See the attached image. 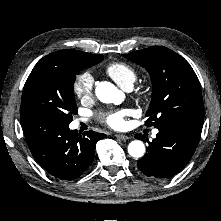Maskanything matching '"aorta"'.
<instances>
[{
  "label": "aorta",
  "instance_id": "1",
  "mask_svg": "<svg viewBox=\"0 0 221 221\" xmlns=\"http://www.w3.org/2000/svg\"><path fill=\"white\" fill-rule=\"evenodd\" d=\"M95 93L103 103L118 104L120 102L121 92L110 82L103 81L98 83ZM128 153L134 158H140L145 154V145L140 140H134L128 145Z\"/></svg>",
  "mask_w": 221,
  "mask_h": 221
}]
</instances>
